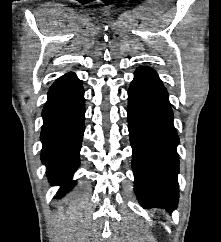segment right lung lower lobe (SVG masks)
<instances>
[{"mask_svg":"<svg viewBox=\"0 0 221 242\" xmlns=\"http://www.w3.org/2000/svg\"><path fill=\"white\" fill-rule=\"evenodd\" d=\"M84 90L74 73L54 82L42 111V161L52 184H60L63 195L74 181L79 166V151L84 132Z\"/></svg>","mask_w":221,"mask_h":242,"instance_id":"right-lung-lower-lobe-1","label":"right lung lower lobe"}]
</instances>
